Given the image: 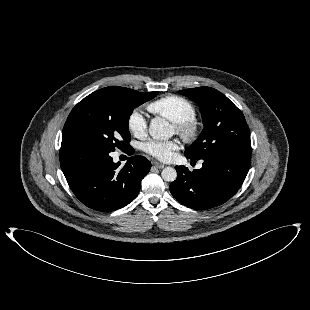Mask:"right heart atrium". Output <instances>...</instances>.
Instances as JSON below:
<instances>
[{
    "label": "right heart atrium",
    "mask_w": 310,
    "mask_h": 310,
    "mask_svg": "<svg viewBox=\"0 0 310 310\" xmlns=\"http://www.w3.org/2000/svg\"><path fill=\"white\" fill-rule=\"evenodd\" d=\"M129 131L138 138H143L147 133V120L143 112L135 109L128 118Z\"/></svg>",
    "instance_id": "1"
}]
</instances>
